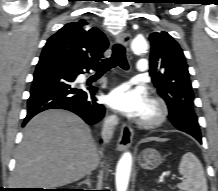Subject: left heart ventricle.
I'll list each match as a JSON object with an SVG mask.
<instances>
[{"mask_svg":"<svg viewBox=\"0 0 218 191\" xmlns=\"http://www.w3.org/2000/svg\"><path fill=\"white\" fill-rule=\"evenodd\" d=\"M149 113H150V106H149V104H148L147 107L145 108V110H144V112H143V114H142L141 117L146 116V115H148Z\"/></svg>","mask_w":218,"mask_h":191,"instance_id":"left-heart-ventricle-1","label":"left heart ventricle"}]
</instances>
